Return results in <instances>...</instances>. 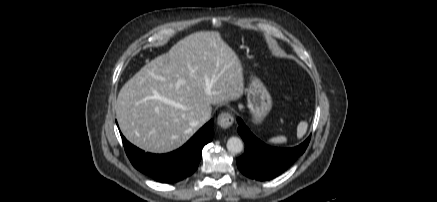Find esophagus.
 Returning <instances> with one entry per match:
<instances>
[{"mask_svg": "<svg viewBox=\"0 0 437 202\" xmlns=\"http://www.w3.org/2000/svg\"><path fill=\"white\" fill-rule=\"evenodd\" d=\"M234 122L233 115L228 112H222L217 118L218 125L223 128H229Z\"/></svg>", "mask_w": 437, "mask_h": 202, "instance_id": "1", "label": "esophagus"}]
</instances>
